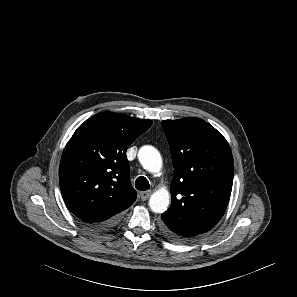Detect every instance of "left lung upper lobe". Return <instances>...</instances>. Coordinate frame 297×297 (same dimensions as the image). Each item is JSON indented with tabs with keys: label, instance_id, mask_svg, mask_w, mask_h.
I'll use <instances>...</instances> for the list:
<instances>
[{
	"label": "left lung upper lobe",
	"instance_id": "1",
	"mask_svg": "<svg viewBox=\"0 0 297 297\" xmlns=\"http://www.w3.org/2000/svg\"><path fill=\"white\" fill-rule=\"evenodd\" d=\"M161 125L175 175L171 206L161 218L186 241L212 229L224 215L232 190L234 161L226 139L202 119L165 120Z\"/></svg>",
	"mask_w": 297,
	"mask_h": 297
}]
</instances>
